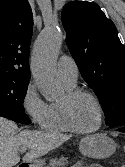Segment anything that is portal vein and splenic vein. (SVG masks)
<instances>
[{
  "label": "portal vein and splenic vein",
  "instance_id": "portal-vein-and-splenic-vein-1",
  "mask_svg": "<svg viewBox=\"0 0 125 167\" xmlns=\"http://www.w3.org/2000/svg\"><path fill=\"white\" fill-rule=\"evenodd\" d=\"M26 150H27V147H21V149H20L21 152H24Z\"/></svg>",
  "mask_w": 125,
  "mask_h": 167
}]
</instances>
